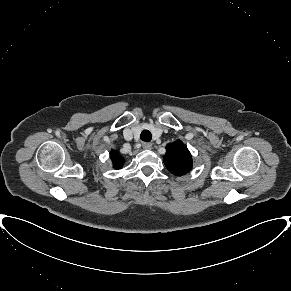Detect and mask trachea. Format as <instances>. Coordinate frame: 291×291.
<instances>
[{"mask_svg": "<svg viewBox=\"0 0 291 291\" xmlns=\"http://www.w3.org/2000/svg\"><path fill=\"white\" fill-rule=\"evenodd\" d=\"M140 139L144 142H150L152 139L151 132L149 130H143L140 134Z\"/></svg>", "mask_w": 291, "mask_h": 291, "instance_id": "1", "label": "trachea"}]
</instances>
